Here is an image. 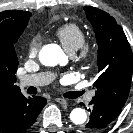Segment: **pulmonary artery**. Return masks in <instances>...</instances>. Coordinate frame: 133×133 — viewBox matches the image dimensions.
I'll list each match as a JSON object with an SVG mask.
<instances>
[{"mask_svg":"<svg viewBox=\"0 0 133 133\" xmlns=\"http://www.w3.org/2000/svg\"><path fill=\"white\" fill-rule=\"evenodd\" d=\"M53 80V74L51 73H38L23 76L19 80V86L21 88L29 87V86H42L50 83ZM93 94H90L87 97L88 101H91Z\"/></svg>","mask_w":133,"mask_h":133,"instance_id":"obj_1","label":"pulmonary artery"}]
</instances>
